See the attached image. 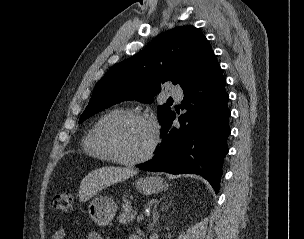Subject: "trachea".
Masks as SVG:
<instances>
[{"label": "trachea", "mask_w": 304, "mask_h": 239, "mask_svg": "<svg viewBox=\"0 0 304 239\" xmlns=\"http://www.w3.org/2000/svg\"><path fill=\"white\" fill-rule=\"evenodd\" d=\"M168 101L172 102V101H173V99H172V98H170Z\"/></svg>", "instance_id": "trachea-1"}]
</instances>
